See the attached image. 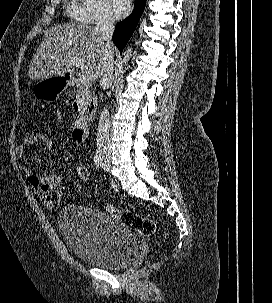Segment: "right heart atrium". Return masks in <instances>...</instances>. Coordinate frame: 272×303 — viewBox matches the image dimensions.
Segmentation results:
<instances>
[{
    "instance_id": "1",
    "label": "right heart atrium",
    "mask_w": 272,
    "mask_h": 303,
    "mask_svg": "<svg viewBox=\"0 0 272 303\" xmlns=\"http://www.w3.org/2000/svg\"><path fill=\"white\" fill-rule=\"evenodd\" d=\"M84 4L89 23L107 24L113 21L105 0H84Z\"/></svg>"
}]
</instances>
